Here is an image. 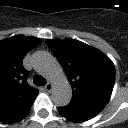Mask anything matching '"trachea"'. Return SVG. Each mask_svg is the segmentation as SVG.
<instances>
[{"label": "trachea", "mask_w": 128, "mask_h": 128, "mask_svg": "<svg viewBox=\"0 0 128 128\" xmlns=\"http://www.w3.org/2000/svg\"><path fill=\"white\" fill-rule=\"evenodd\" d=\"M33 82L37 86H44L46 84V79L41 75H35L33 78Z\"/></svg>", "instance_id": "3493384b"}]
</instances>
